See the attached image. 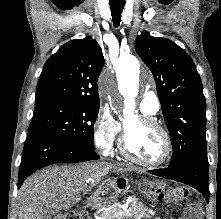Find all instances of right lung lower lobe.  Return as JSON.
Instances as JSON below:
<instances>
[{
  "label": "right lung lower lobe",
  "mask_w": 221,
  "mask_h": 219,
  "mask_svg": "<svg viewBox=\"0 0 221 219\" xmlns=\"http://www.w3.org/2000/svg\"><path fill=\"white\" fill-rule=\"evenodd\" d=\"M99 158L95 150L82 148L44 133L32 132L25 141L19 168L18 188L30 174L45 166Z\"/></svg>",
  "instance_id": "obj_1"
}]
</instances>
